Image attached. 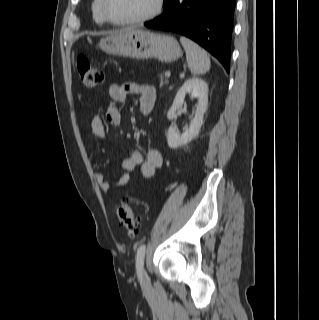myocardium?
<instances>
[{
  "label": "myocardium",
  "instance_id": "1",
  "mask_svg": "<svg viewBox=\"0 0 319 320\" xmlns=\"http://www.w3.org/2000/svg\"><path fill=\"white\" fill-rule=\"evenodd\" d=\"M163 7H164V0H156L154 9L146 15L131 18V19H125V20H115L109 15L107 11L106 0H100L101 14L105 19V21L109 22L110 24L118 25V26L143 23V22L152 20L156 18L158 15H160V13L163 10Z\"/></svg>",
  "mask_w": 319,
  "mask_h": 320
}]
</instances>
